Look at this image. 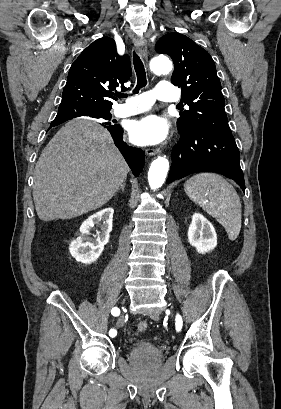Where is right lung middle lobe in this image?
I'll use <instances>...</instances> for the list:
<instances>
[{"instance_id": "dd1d6c3e", "label": "right lung middle lobe", "mask_w": 281, "mask_h": 409, "mask_svg": "<svg viewBox=\"0 0 281 409\" xmlns=\"http://www.w3.org/2000/svg\"><path fill=\"white\" fill-rule=\"evenodd\" d=\"M98 118L100 119H105L109 120L111 118L110 112H99ZM70 119H63V118H55V120L51 123V127L59 125L65 121H68Z\"/></svg>"}]
</instances>
